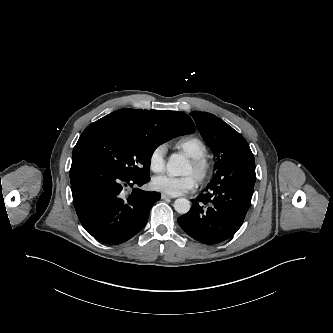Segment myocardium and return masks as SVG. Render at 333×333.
I'll return each instance as SVG.
<instances>
[{"label":"myocardium","mask_w":333,"mask_h":333,"mask_svg":"<svg viewBox=\"0 0 333 333\" xmlns=\"http://www.w3.org/2000/svg\"><path fill=\"white\" fill-rule=\"evenodd\" d=\"M195 172V178L199 183L205 182L212 173V163L207 156L193 157L190 159Z\"/></svg>","instance_id":"f54148a6"}]
</instances>
